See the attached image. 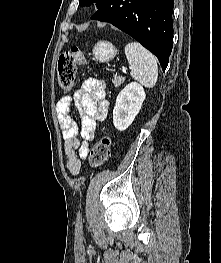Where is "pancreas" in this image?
<instances>
[{
	"mask_svg": "<svg viewBox=\"0 0 221 263\" xmlns=\"http://www.w3.org/2000/svg\"><path fill=\"white\" fill-rule=\"evenodd\" d=\"M125 81L124 77H114L112 82L116 88L120 87L121 84Z\"/></svg>",
	"mask_w": 221,
	"mask_h": 263,
	"instance_id": "1",
	"label": "pancreas"
}]
</instances>
